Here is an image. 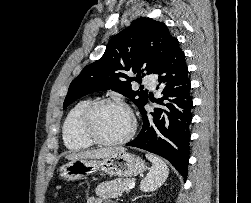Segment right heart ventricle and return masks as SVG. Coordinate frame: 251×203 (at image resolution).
<instances>
[{
	"label": "right heart ventricle",
	"instance_id": "e07e8e85",
	"mask_svg": "<svg viewBox=\"0 0 251 203\" xmlns=\"http://www.w3.org/2000/svg\"><path fill=\"white\" fill-rule=\"evenodd\" d=\"M91 100L77 102L66 114L62 125V138L65 146L72 151L88 149L92 143L84 138L79 131V120L84 109Z\"/></svg>",
	"mask_w": 251,
	"mask_h": 203
}]
</instances>
